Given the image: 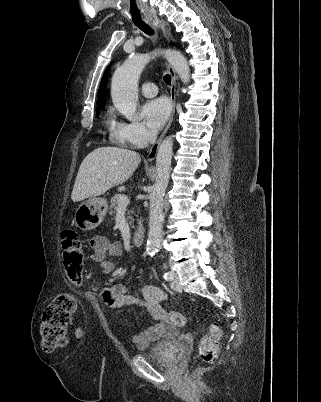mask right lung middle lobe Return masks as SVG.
Returning a JSON list of instances; mask_svg holds the SVG:
<instances>
[{"mask_svg":"<svg viewBox=\"0 0 321 402\" xmlns=\"http://www.w3.org/2000/svg\"><path fill=\"white\" fill-rule=\"evenodd\" d=\"M99 108L102 109V110H104L105 107L102 106V107H99ZM96 115L99 116V109H97Z\"/></svg>","mask_w":321,"mask_h":402,"instance_id":"right-lung-middle-lobe-1","label":"right lung middle lobe"}]
</instances>
